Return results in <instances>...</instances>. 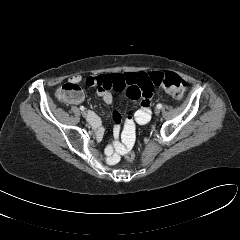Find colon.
I'll return each mask as SVG.
<instances>
[{"mask_svg": "<svg viewBox=\"0 0 240 240\" xmlns=\"http://www.w3.org/2000/svg\"><path fill=\"white\" fill-rule=\"evenodd\" d=\"M151 82L156 87L163 88L167 93L176 99H180L187 88L186 82L176 73L173 72H153L149 75ZM83 96L82 89L77 83L68 82L57 90V97L64 101H72ZM123 142L125 144V159L128 162L134 160L132 152L133 132L124 133Z\"/></svg>", "mask_w": 240, "mask_h": 240, "instance_id": "obj_1", "label": "colon"}]
</instances>
